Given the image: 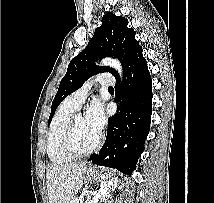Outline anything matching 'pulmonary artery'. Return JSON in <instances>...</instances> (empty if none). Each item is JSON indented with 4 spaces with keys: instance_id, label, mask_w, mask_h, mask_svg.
<instances>
[{
    "instance_id": "1",
    "label": "pulmonary artery",
    "mask_w": 214,
    "mask_h": 203,
    "mask_svg": "<svg viewBox=\"0 0 214 203\" xmlns=\"http://www.w3.org/2000/svg\"><path fill=\"white\" fill-rule=\"evenodd\" d=\"M97 82L102 86H112L114 85V78L110 73H102L99 74L94 79L87 81L80 89L73 92L71 95L67 97L68 103L76 108L79 109L81 105L84 103L88 92L92 85Z\"/></svg>"
}]
</instances>
